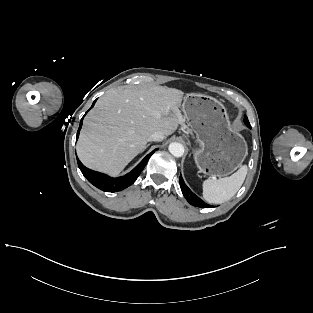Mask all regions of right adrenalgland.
Listing matches in <instances>:
<instances>
[{"mask_svg":"<svg viewBox=\"0 0 313 313\" xmlns=\"http://www.w3.org/2000/svg\"><path fill=\"white\" fill-rule=\"evenodd\" d=\"M148 146H149V144H148V145H146L144 149H146ZM144 149L142 150V152L144 151Z\"/></svg>","mask_w":313,"mask_h":313,"instance_id":"right-adrenal-gland-1","label":"right adrenal gland"}]
</instances>
